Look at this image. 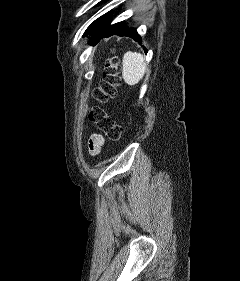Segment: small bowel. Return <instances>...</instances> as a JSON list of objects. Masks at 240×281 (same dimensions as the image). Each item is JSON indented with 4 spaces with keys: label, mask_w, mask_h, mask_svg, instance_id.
I'll return each instance as SVG.
<instances>
[{
    "label": "small bowel",
    "mask_w": 240,
    "mask_h": 281,
    "mask_svg": "<svg viewBox=\"0 0 240 281\" xmlns=\"http://www.w3.org/2000/svg\"><path fill=\"white\" fill-rule=\"evenodd\" d=\"M104 143L105 139L101 134H92L88 142L89 153L92 156L98 155Z\"/></svg>",
    "instance_id": "c3829d8e"
}]
</instances>
